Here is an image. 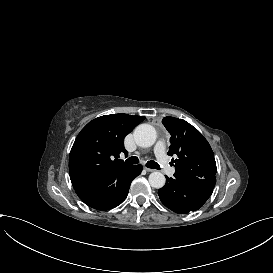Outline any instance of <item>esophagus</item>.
Returning a JSON list of instances; mask_svg holds the SVG:
<instances>
[{
  "label": "esophagus",
  "instance_id": "esophagus-1",
  "mask_svg": "<svg viewBox=\"0 0 273 273\" xmlns=\"http://www.w3.org/2000/svg\"><path fill=\"white\" fill-rule=\"evenodd\" d=\"M144 169H145L147 172H154V171H156L155 169H150V168H148V167H144Z\"/></svg>",
  "mask_w": 273,
  "mask_h": 273
}]
</instances>
